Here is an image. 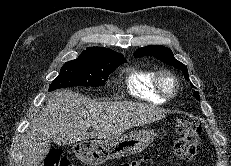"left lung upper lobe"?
Here are the masks:
<instances>
[{"instance_id": "5c2ea615", "label": "left lung upper lobe", "mask_w": 231, "mask_h": 166, "mask_svg": "<svg viewBox=\"0 0 231 166\" xmlns=\"http://www.w3.org/2000/svg\"><path fill=\"white\" fill-rule=\"evenodd\" d=\"M134 56L136 58L143 57V56L155 57L158 60H160V61H162L168 65L174 66L175 68L182 70L184 77L187 80H189L187 68L185 67V65L183 63H181L180 61H178L174 58V55H173L171 49H169V48H166V47L161 46V45H149V46L137 49L134 52ZM192 87L194 88L193 85H192ZM194 97L197 100H200V96H199L198 92H194Z\"/></svg>"}]
</instances>
